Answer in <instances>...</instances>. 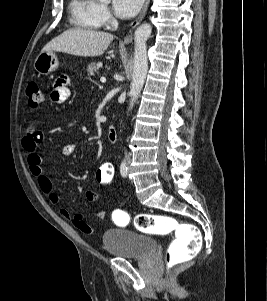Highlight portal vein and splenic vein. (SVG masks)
I'll list each match as a JSON object with an SVG mask.
<instances>
[{
    "label": "portal vein and splenic vein",
    "mask_w": 267,
    "mask_h": 301,
    "mask_svg": "<svg viewBox=\"0 0 267 301\" xmlns=\"http://www.w3.org/2000/svg\"><path fill=\"white\" fill-rule=\"evenodd\" d=\"M100 81H101L102 83H105V82H106V78H105V77H101V78H100Z\"/></svg>",
    "instance_id": "1"
}]
</instances>
